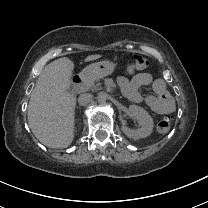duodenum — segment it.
<instances>
[{
    "instance_id": "410a0bca",
    "label": "duodenum",
    "mask_w": 208,
    "mask_h": 208,
    "mask_svg": "<svg viewBox=\"0 0 208 208\" xmlns=\"http://www.w3.org/2000/svg\"><path fill=\"white\" fill-rule=\"evenodd\" d=\"M86 83H87V77L86 76H76V77H74L73 85H72L73 91L74 92H80L84 88Z\"/></svg>"
}]
</instances>
